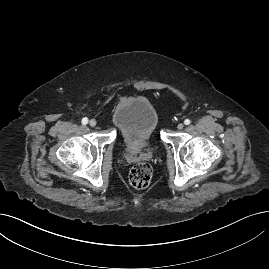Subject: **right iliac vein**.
I'll return each instance as SVG.
<instances>
[{
  "label": "right iliac vein",
  "mask_w": 269,
  "mask_h": 269,
  "mask_svg": "<svg viewBox=\"0 0 269 269\" xmlns=\"http://www.w3.org/2000/svg\"><path fill=\"white\" fill-rule=\"evenodd\" d=\"M96 124H97V122H96L95 119H91V120L89 121V125H90L91 127L96 126Z\"/></svg>",
  "instance_id": "right-iliac-vein-1"
}]
</instances>
